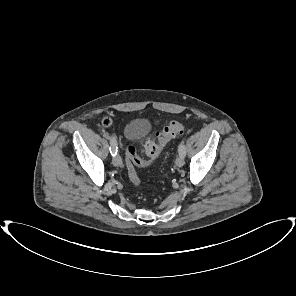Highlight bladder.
Masks as SVG:
<instances>
[{
	"label": "bladder",
	"instance_id": "31cf9c89",
	"mask_svg": "<svg viewBox=\"0 0 296 296\" xmlns=\"http://www.w3.org/2000/svg\"><path fill=\"white\" fill-rule=\"evenodd\" d=\"M150 130L149 122L144 118H134L124 127V136L128 141H137L145 137Z\"/></svg>",
	"mask_w": 296,
	"mask_h": 296
}]
</instances>
